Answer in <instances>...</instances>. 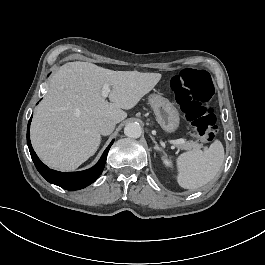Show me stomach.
I'll use <instances>...</instances> for the list:
<instances>
[{
	"label": "stomach",
	"mask_w": 265,
	"mask_h": 265,
	"mask_svg": "<svg viewBox=\"0 0 265 265\" xmlns=\"http://www.w3.org/2000/svg\"><path fill=\"white\" fill-rule=\"evenodd\" d=\"M153 107L157 122L164 132L174 133L180 125V114L178 109L169 100L160 95L153 94L149 98Z\"/></svg>",
	"instance_id": "stomach-1"
}]
</instances>
